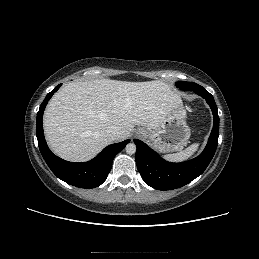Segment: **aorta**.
Masks as SVG:
<instances>
[{
    "instance_id": "1",
    "label": "aorta",
    "mask_w": 259,
    "mask_h": 259,
    "mask_svg": "<svg viewBox=\"0 0 259 259\" xmlns=\"http://www.w3.org/2000/svg\"><path fill=\"white\" fill-rule=\"evenodd\" d=\"M125 150L128 154H134L136 152V145L134 143H129L126 145Z\"/></svg>"
}]
</instances>
